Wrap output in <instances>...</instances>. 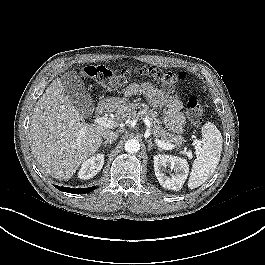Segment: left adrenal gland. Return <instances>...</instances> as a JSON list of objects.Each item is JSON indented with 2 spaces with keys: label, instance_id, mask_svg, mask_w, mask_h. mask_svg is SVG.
<instances>
[{
  "label": "left adrenal gland",
  "instance_id": "left-adrenal-gland-1",
  "mask_svg": "<svg viewBox=\"0 0 265 265\" xmlns=\"http://www.w3.org/2000/svg\"><path fill=\"white\" fill-rule=\"evenodd\" d=\"M148 143V151H150L152 148H155V145L152 143L151 140H147ZM160 150V148H158Z\"/></svg>",
  "mask_w": 265,
  "mask_h": 265
}]
</instances>
